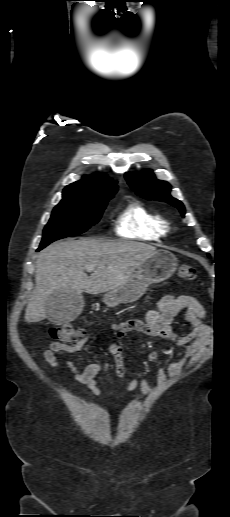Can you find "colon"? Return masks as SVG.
<instances>
[{
    "label": "colon",
    "mask_w": 230,
    "mask_h": 517,
    "mask_svg": "<svg viewBox=\"0 0 230 517\" xmlns=\"http://www.w3.org/2000/svg\"><path fill=\"white\" fill-rule=\"evenodd\" d=\"M178 276L185 281H194L197 273L192 266L184 264L179 267ZM49 334L53 339L61 343L73 344L83 336V331L70 324H62L52 327L49 330Z\"/></svg>",
    "instance_id": "5ec220e1"
}]
</instances>
